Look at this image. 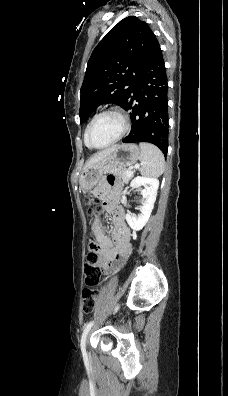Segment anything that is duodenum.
Here are the masks:
<instances>
[{
  "label": "duodenum",
  "instance_id": "duodenum-1",
  "mask_svg": "<svg viewBox=\"0 0 228 396\" xmlns=\"http://www.w3.org/2000/svg\"><path fill=\"white\" fill-rule=\"evenodd\" d=\"M117 222L119 224V233L123 234L125 232V229H127V226L122 219H118Z\"/></svg>",
  "mask_w": 228,
  "mask_h": 396
}]
</instances>
